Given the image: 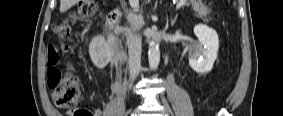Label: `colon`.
Instances as JSON below:
<instances>
[{
	"instance_id": "5ec220e1",
	"label": "colon",
	"mask_w": 283,
	"mask_h": 116,
	"mask_svg": "<svg viewBox=\"0 0 283 116\" xmlns=\"http://www.w3.org/2000/svg\"><path fill=\"white\" fill-rule=\"evenodd\" d=\"M97 10V3L95 0H82L74 12L66 19L56 24L54 31L57 34L60 44L53 49V53L58 55H68L70 53V46L66 43V39L70 33V26L77 19L88 18L95 14ZM47 84L52 89V98L56 106L60 108L72 107L78 103L81 97L79 80L72 73L65 75L48 76ZM72 116H91V110L88 108L73 109Z\"/></svg>"
}]
</instances>
